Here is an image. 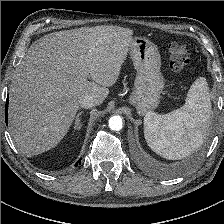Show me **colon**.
Here are the masks:
<instances>
[{"label": "colon", "instance_id": "5ec220e1", "mask_svg": "<svg viewBox=\"0 0 224 224\" xmlns=\"http://www.w3.org/2000/svg\"><path fill=\"white\" fill-rule=\"evenodd\" d=\"M170 68L176 76H182L190 65V52L186 44L173 42L169 45Z\"/></svg>", "mask_w": 224, "mask_h": 224}]
</instances>
